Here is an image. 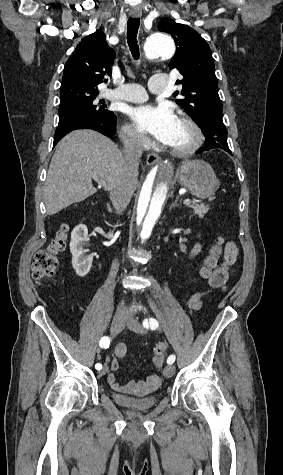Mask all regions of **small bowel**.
Segmentation results:
<instances>
[{"instance_id":"c3829d8e","label":"small bowel","mask_w":283,"mask_h":475,"mask_svg":"<svg viewBox=\"0 0 283 475\" xmlns=\"http://www.w3.org/2000/svg\"><path fill=\"white\" fill-rule=\"evenodd\" d=\"M238 257V248L233 241L226 242L225 254L221 263V270L217 271L216 274H213L211 277L210 283H208L213 288L225 289L228 285L229 277L234 273L233 266L236 263ZM188 307L191 313H195L202 308L203 300L202 293L196 292L191 295L188 299ZM126 355V346L124 344H119L115 348V357L110 361L111 372L107 375V381L109 385L115 389L120 390L122 387L117 382L114 372L119 370L120 360H122ZM160 370V369H157ZM161 381L159 375H152L147 379V383L152 386L158 385Z\"/></svg>"}]
</instances>
